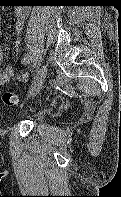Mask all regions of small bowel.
I'll return each instance as SVG.
<instances>
[{
	"mask_svg": "<svg viewBox=\"0 0 121 197\" xmlns=\"http://www.w3.org/2000/svg\"><path fill=\"white\" fill-rule=\"evenodd\" d=\"M15 16H16V31L19 33L22 30L23 24L25 19L28 16V10L23 7H18L15 10ZM0 36H1V17H0ZM15 48L18 51L20 48V40L16 39ZM2 50L0 47V86L8 84L12 79H16L20 82H24L27 80L28 73L26 71L20 72L17 76H14V70L12 67H5L2 68Z\"/></svg>",
	"mask_w": 121,
	"mask_h": 197,
	"instance_id": "obj_1",
	"label": "small bowel"
}]
</instances>
